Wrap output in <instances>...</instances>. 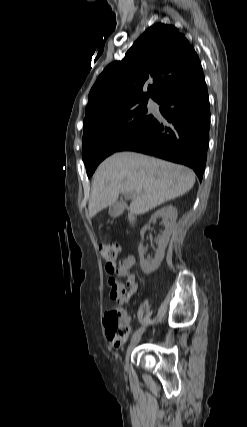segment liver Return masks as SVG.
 <instances>
[{
	"label": "liver",
	"mask_w": 247,
	"mask_h": 427,
	"mask_svg": "<svg viewBox=\"0 0 247 427\" xmlns=\"http://www.w3.org/2000/svg\"><path fill=\"white\" fill-rule=\"evenodd\" d=\"M195 183L189 168L135 152H119L97 168L88 204L89 216L114 204L120 193L133 200L127 208L141 215L187 193Z\"/></svg>",
	"instance_id": "obj_1"
}]
</instances>
